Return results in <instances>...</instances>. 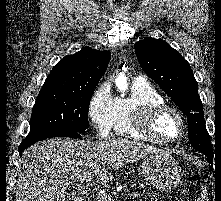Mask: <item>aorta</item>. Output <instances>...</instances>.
<instances>
[{"mask_svg":"<svg viewBox=\"0 0 221 201\" xmlns=\"http://www.w3.org/2000/svg\"><path fill=\"white\" fill-rule=\"evenodd\" d=\"M116 86L117 88L121 91V92H125L128 89V82H127V78L124 74H120L116 81Z\"/></svg>","mask_w":221,"mask_h":201,"instance_id":"762f6f07","label":"aorta"}]
</instances>
